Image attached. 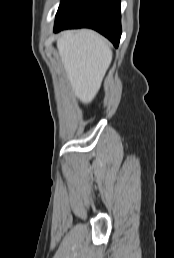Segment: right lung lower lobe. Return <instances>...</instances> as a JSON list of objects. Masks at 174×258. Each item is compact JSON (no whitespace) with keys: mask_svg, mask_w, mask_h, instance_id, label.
Segmentation results:
<instances>
[{"mask_svg":"<svg viewBox=\"0 0 174 258\" xmlns=\"http://www.w3.org/2000/svg\"><path fill=\"white\" fill-rule=\"evenodd\" d=\"M92 28L118 47L121 36L120 0H68L57 12L54 31Z\"/></svg>","mask_w":174,"mask_h":258,"instance_id":"obj_1","label":"right lung lower lobe"}]
</instances>
